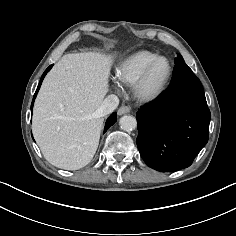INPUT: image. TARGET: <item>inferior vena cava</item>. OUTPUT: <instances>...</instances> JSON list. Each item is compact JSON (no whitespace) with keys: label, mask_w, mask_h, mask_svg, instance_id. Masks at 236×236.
Instances as JSON below:
<instances>
[{"label":"inferior vena cava","mask_w":236,"mask_h":236,"mask_svg":"<svg viewBox=\"0 0 236 236\" xmlns=\"http://www.w3.org/2000/svg\"><path fill=\"white\" fill-rule=\"evenodd\" d=\"M118 104H119V99L116 95L114 94L108 95L102 102L101 106L99 107L98 113L101 116L110 114L117 108Z\"/></svg>","instance_id":"1"}]
</instances>
